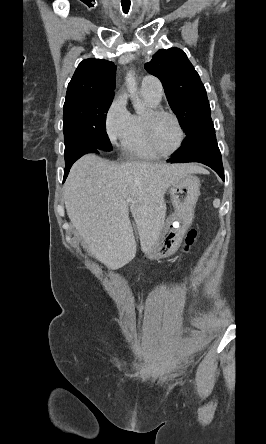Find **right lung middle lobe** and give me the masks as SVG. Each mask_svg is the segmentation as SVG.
Returning a JSON list of instances; mask_svg holds the SVG:
<instances>
[{"label":"right lung middle lobe","instance_id":"dd1d6c3e","mask_svg":"<svg viewBox=\"0 0 266 444\" xmlns=\"http://www.w3.org/2000/svg\"><path fill=\"white\" fill-rule=\"evenodd\" d=\"M114 95L94 96L64 104L65 162L87 148L111 151L106 133V113Z\"/></svg>","mask_w":266,"mask_h":444}]
</instances>
